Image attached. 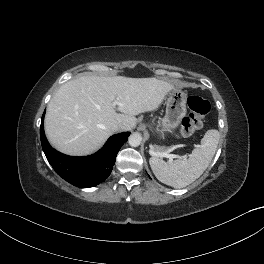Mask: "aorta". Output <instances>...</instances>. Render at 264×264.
Segmentation results:
<instances>
[{"label": "aorta", "instance_id": "1", "mask_svg": "<svg viewBox=\"0 0 264 264\" xmlns=\"http://www.w3.org/2000/svg\"><path fill=\"white\" fill-rule=\"evenodd\" d=\"M142 135L138 132H135L129 136L128 143L132 147H137L141 144Z\"/></svg>", "mask_w": 264, "mask_h": 264}]
</instances>
